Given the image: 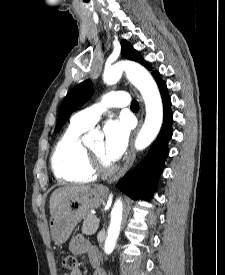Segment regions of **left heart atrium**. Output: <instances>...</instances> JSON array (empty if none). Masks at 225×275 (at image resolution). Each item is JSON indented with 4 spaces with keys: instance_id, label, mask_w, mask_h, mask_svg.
<instances>
[{
    "instance_id": "1",
    "label": "left heart atrium",
    "mask_w": 225,
    "mask_h": 275,
    "mask_svg": "<svg viewBox=\"0 0 225 275\" xmlns=\"http://www.w3.org/2000/svg\"><path fill=\"white\" fill-rule=\"evenodd\" d=\"M104 133V157L111 163L117 161L124 153L130 133L129 122L124 119H114L106 122Z\"/></svg>"
}]
</instances>
